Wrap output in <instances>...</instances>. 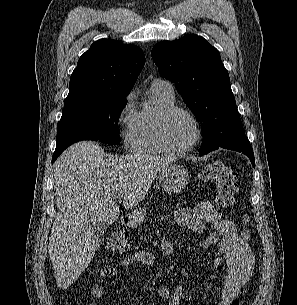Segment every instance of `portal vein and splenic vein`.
<instances>
[{
	"label": "portal vein and splenic vein",
	"mask_w": 297,
	"mask_h": 305,
	"mask_svg": "<svg viewBox=\"0 0 297 305\" xmlns=\"http://www.w3.org/2000/svg\"><path fill=\"white\" fill-rule=\"evenodd\" d=\"M114 197H115L116 199H120V198L122 197V194H121V193H116V194L114 195Z\"/></svg>",
	"instance_id": "1"
}]
</instances>
